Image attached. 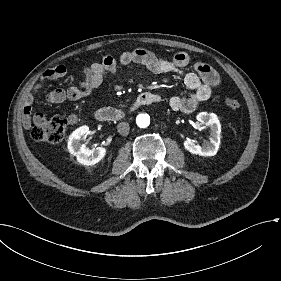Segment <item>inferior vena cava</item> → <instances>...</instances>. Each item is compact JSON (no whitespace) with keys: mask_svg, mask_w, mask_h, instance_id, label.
Returning <instances> with one entry per match:
<instances>
[{"mask_svg":"<svg viewBox=\"0 0 281 281\" xmlns=\"http://www.w3.org/2000/svg\"><path fill=\"white\" fill-rule=\"evenodd\" d=\"M117 131L120 135L126 136L129 133V124L126 122H120L117 125Z\"/></svg>","mask_w":281,"mask_h":281,"instance_id":"1","label":"inferior vena cava"}]
</instances>
